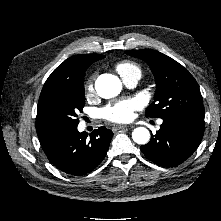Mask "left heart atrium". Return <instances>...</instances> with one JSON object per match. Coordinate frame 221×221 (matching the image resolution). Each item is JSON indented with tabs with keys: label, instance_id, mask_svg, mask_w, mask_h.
<instances>
[{
	"label": "left heart atrium",
	"instance_id": "1",
	"mask_svg": "<svg viewBox=\"0 0 221 221\" xmlns=\"http://www.w3.org/2000/svg\"><path fill=\"white\" fill-rule=\"evenodd\" d=\"M140 107V101L136 98L123 99L106 106L102 110V116L110 122L125 123L133 119L134 112Z\"/></svg>",
	"mask_w": 221,
	"mask_h": 221
}]
</instances>
